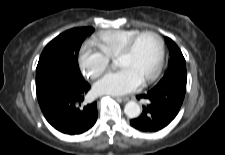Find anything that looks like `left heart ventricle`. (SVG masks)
<instances>
[{"label": "left heart ventricle", "instance_id": "1", "mask_svg": "<svg viewBox=\"0 0 225 155\" xmlns=\"http://www.w3.org/2000/svg\"><path fill=\"white\" fill-rule=\"evenodd\" d=\"M158 56V41L153 36L146 35L137 41L129 55L117 59L116 65L130 69L143 81L154 70Z\"/></svg>", "mask_w": 225, "mask_h": 155}]
</instances>
